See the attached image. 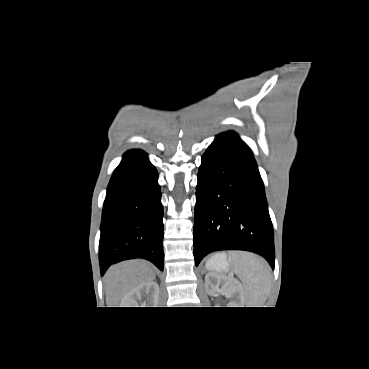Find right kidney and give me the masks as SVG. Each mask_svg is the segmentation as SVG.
Wrapping results in <instances>:
<instances>
[{
	"mask_svg": "<svg viewBox=\"0 0 369 369\" xmlns=\"http://www.w3.org/2000/svg\"><path fill=\"white\" fill-rule=\"evenodd\" d=\"M144 295L147 296V301L139 303ZM158 299L159 285L154 281L145 282L128 292L123 297L120 307H156Z\"/></svg>",
	"mask_w": 369,
	"mask_h": 369,
	"instance_id": "ca27d5eb",
	"label": "right kidney"
}]
</instances>
